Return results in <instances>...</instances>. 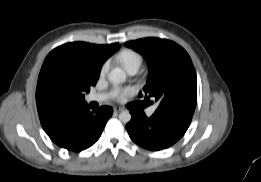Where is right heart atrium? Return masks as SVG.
Instances as JSON below:
<instances>
[{"instance_id": "d8ad5b80", "label": "right heart atrium", "mask_w": 261, "mask_h": 182, "mask_svg": "<svg viewBox=\"0 0 261 182\" xmlns=\"http://www.w3.org/2000/svg\"><path fill=\"white\" fill-rule=\"evenodd\" d=\"M108 69H109V64L105 62L100 68L99 71L100 76H104L107 73Z\"/></svg>"}]
</instances>
